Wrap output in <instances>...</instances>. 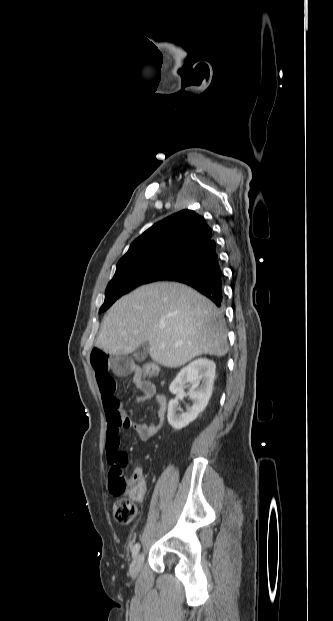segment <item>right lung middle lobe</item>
Masks as SVG:
<instances>
[{"mask_svg": "<svg viewBox=\"0 0 333 621\" xmlns=\"http://www.w3.org/2000/svg\"><path fill=\"white\" fill-rule=\"evenodd\" d=\"M185 258L161 257L117 263L116 273L105 291L99 313L107 310L118 298L142 284L163 280L173 273Z\"/></svg>", "mask_w": 333, "mask_h": 621, "instance_id": "right-lung-middle-lobe-1", "label": "right lung middle lobe"}]
</instances>
